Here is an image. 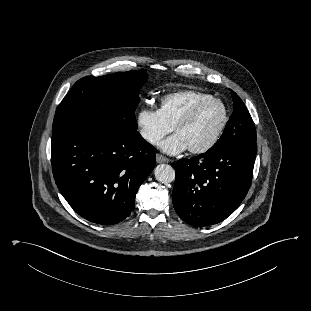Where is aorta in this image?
Listing matches in <instances>:
<instances>
[{
	"label": "aorta",
	"instance_id": "762f6f07",
	"mask_svg": "<svg viewBox=\"0 0 311 311\" xmlns=\"http://www.w3.org/2000/svg\"><path fill=\"white\" fill-rule=\"evenodd\" d=\"M155 178L162 183H170L175 180V170L167 164H160L154 170Z\"/></svg>",
	"mask_w": 311,
	"mask_h": 311
}]
</instances>
